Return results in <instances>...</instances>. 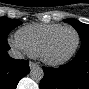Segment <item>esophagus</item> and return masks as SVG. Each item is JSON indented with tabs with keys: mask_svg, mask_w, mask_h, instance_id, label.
<instances>
[{
	"mask_svg": "<svg viewBox=\"0 0 89 89\" xmlns=\"http://www.w3.org/2000/svg\"><path fill=\"white\" fill-rule=\"evenodd\" d=\"M38 66H39V65L36 64V63H34V62H30V63H29V67H30L31 69L36 68V67H38Z\"/></svg>",
	"mask_w": 89,
	"mask_h": 89,
	"instance_id": "obj_1",
	"label": "esophagus"
}]
</instances>
